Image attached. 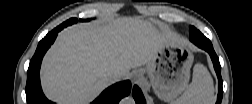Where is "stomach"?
<instances>
[{"instance_id":"1","label":"stomach","mask_w":252,"mask_h":104,"mask_svg":"<svg viewBox=\"0 0 252 104\" xmlns=\"http://www.w3.org/2000/svg\"><path fill=\"white\" fill-rule=\"evenodd\" d=\"M192 63V52L178 40H171L165 42L155 57L138 71L149 77L161 100L175 103L187 88Z\"/></svg>"}]
</instances>
